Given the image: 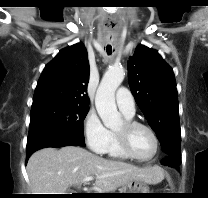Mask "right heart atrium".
I'll use <instances>...</instances> for the list:
<instances>
[{
  "label": "right heart atrium",
  "instance_id": "right-heart-atrium-1",
  "mask_svg": "<svg viewBox=\"0 0 208 198\" xmlns=\"http://www.w3.org/2000/svg\"><path fill=\"white\" fill-rule=\"evenodd\" d=\"M83 131L89 149L94 153L104 154L110 140V131L92 110L84 118Z\"/></svg>",
  "mask_w": 208,
  "mask_h": 198
}]
</instances>
